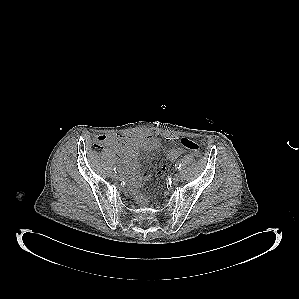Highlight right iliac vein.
Masks as SVG:
<instances>
[{
  "instance_id": "right-iliac-vein-1",
  "label": "right iliac vein",
  "mask_w": 299,
  "mask_h": 299,
  "mask_svg": "<svg viewBox=\"0 0 299 299\" xmlns=\"http://www.w3.org/2000/svg\"><path fill=\"white\" fill-rule=\"evenodd\" d=\"M111 177H112V179H114V180H118V179H119V176H118L117 174H115V173H112V174H111Z\"/></svg>"
}]
</instances>
